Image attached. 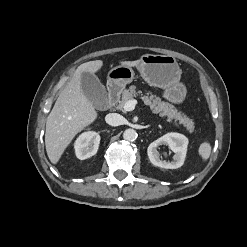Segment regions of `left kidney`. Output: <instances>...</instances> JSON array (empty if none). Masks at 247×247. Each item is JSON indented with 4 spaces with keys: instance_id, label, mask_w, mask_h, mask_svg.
<instances>
[{
    "instance_id": "5707ae66",
    "label": "left kidney",
    "mask_w": 247,
    "mask_h": 247,
    "mask_svg": "<svg viewBox=\"0 0 247 247\" xmlns=\"http://www.w3.org/2000/svg\"><path fill=\"white\" fill-rule=\"evenodd\" d=\"M163 144L168 145L175 153L171 162L160 160V154L157 147ZM187 146L188 138L186 136L171 132L152 142L147 149V154L153 165L165 169H177L184 164Z\"/></svg>"
}]
</instances>
